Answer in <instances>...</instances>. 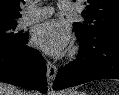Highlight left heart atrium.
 Instances as JSON below:
<instances>
[{
  "instance_id": "39dd6f15",
  "label": "left heart atrium",
  "mask_w": 119,
  "mask_h": 95,
  "mask_svg": "<svg viewBox=\"0 0 119 95\" xmlns=\"http://www.w3.org/2000/svg\"><path fill=\"white\" fill-rule=\"evenodd\" d=\"M33 44L51 55L63 53L70 44L69 29L63 23L51 20L38 25L32 35Z\"/></svg>"
}]
</instances>
